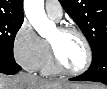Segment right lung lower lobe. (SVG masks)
Listing matches in <instances>:
<instances>
[{"label":"right lung lower lobe","instance_id":"right-lung-lower-lobe-1","mask_svg":"<svg viewBox=\"0 0 107 89\" xmlns=\"http://www.w3.org/2000/svg\"><path fill=\"white\" fill-rule=\"evenodd\" d=\"M20 69V66L16 64V62L11 64L6 61L0 60V73L13 75L16 74Z\"/></svg>","mask_w":107,"mask_h":89}]
</instances>
